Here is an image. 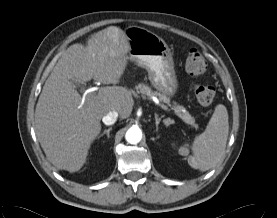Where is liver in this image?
<instances>
[{
	"label": "liver",
	"mask_w": 277,
	"mask_h": 218,
	"mask_svg": "<svg viewBox=\"0 0 277 218\" xmlns=\"http://www.w3.org/2000/svg\"><path fill=\"white\" fill-rule=\"evenodd\" d=\"M129 49L125 31L110 26L93 34L87 46L68 47L47 78L36 105L35 131L48 161L58 169L76 172L82 168L107 113L116 111L120 119L131 115V92L115 86L127 67ZM73 79L114 86L101 87L93 98L83 101Z\"/></svg>",
	"instance_id": "6515ba94"
}]
</instances>
